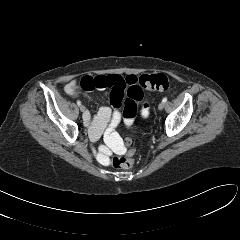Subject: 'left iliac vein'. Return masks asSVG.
<instances>
[{
    "instance_id": "left-iliac-vein-1",
    "label": "left iliac vein",
    "mask_w": 240,
    "mask_h": 240,
    "mask_svg": "<svg viewBox=\"0 0 240 240\" xmlns=\"http://www.w3.org/2000/svg\"><path fill=\"white\" fill-rule=\"evenodd\" d=\"M163 108H164V103L163 102L159 103L158 109L159 110H163Z\"/></svg>"
}]
</instances>
